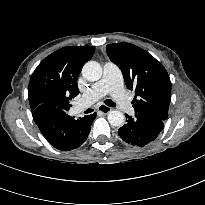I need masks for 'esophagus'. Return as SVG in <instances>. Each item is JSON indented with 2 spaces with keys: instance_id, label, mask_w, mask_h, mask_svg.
Here are the masks:
<instances>
[{
  "instance_id": "obj_1",
  "label": "esophagus",
  "mask_w": 205,
  "mask_h": 205,
  "mask_svg": "<svg viewBox=\"0 0 205 205\" xmlns=\"http://www.w3.org/2000/svg\"><path fill=\"white\" fill-rule=\"evenodd\" d=\"M98 111H100V112H102L104 114H107V113H109L111 111V108L109 106H107V105L101 104L98 107Z\"/></svg>"
}]
</instances>
